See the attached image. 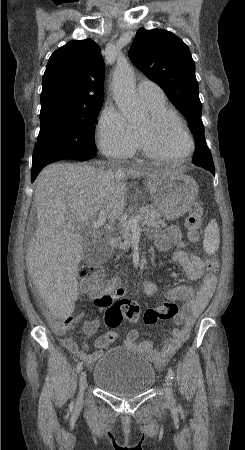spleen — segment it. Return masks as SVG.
<instances>
[{"mask_svg": "<svg viewBox=\"0 0 245 450\" xmlns=\"http://www.w3.org/2000/svg\"><path fill=\"white\" fill-rule=\"evenodd\" d=\"M220 235L216 220H211L204 230L203 248L206 253L214 254L219 248Z\"/></svg>", "mask_w": 245, "mask_h": 450, "instance_id": "spleen-1", "label": "spleen"}]
</instances>
